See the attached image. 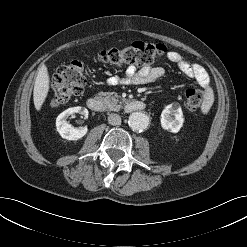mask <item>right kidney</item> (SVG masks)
I'll use <instances>...</instances> for the list:
<instances>
[{
    "instance_id": "1",
    "label": "right kidney",
    "mask_w": 247,
    "mask_h": 247,
    "mask_svg": "<svg viewBox=\"0 0 247 247\" xmlns=\"http://www.w3.org/2000/svg\"><path fill=\"white\" fill-rule=\"evenodd\" d=\"M74 113L83 115L85 119L88 118V110L79 106L66 109L56 118L57 131L62 138L67 140H78L87 133V127H73L67 123V118Z\"/></svg>"
}]
</instances>
